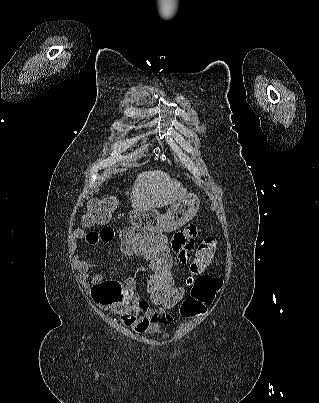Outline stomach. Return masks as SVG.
Wrapping results in <instances>:
<instances>
[{"label": "stomach", "instance_id": "1", "mask_svg": "<svg viewBox=\"0 0 319 403\" xmlns=\"http://www.w3.org/2000/svg\"><path fill=\"white\" fill-rule=\"evenodd\" d=\"M199 199L193 194L174 203L164 214L154 209H133L128 216V223L142 229L143 234H162L174 231L196 215Z\"/></svg>", "mask_w": 319, "mask_h": 403}]
</instances>
